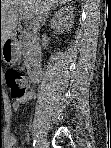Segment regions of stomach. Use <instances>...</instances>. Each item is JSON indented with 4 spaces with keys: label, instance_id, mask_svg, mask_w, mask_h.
<instances>
[{
    "label": "stomach",
    "instance_id": "obj_1",
    "mask_svg": "<svg viewBox=\"0 0 111 148\" xmlns=\"http://www.w3.org/2000/svg\"><path fill=\"white\" fill-rule=\"evenodd\" d=\"M3 59L6 62L12 61V58L10 57V54H7V52H5V54H3Z\"/></svg>",
    "mask_w": 111,
    "mask_h": 148
}]
</instances>
